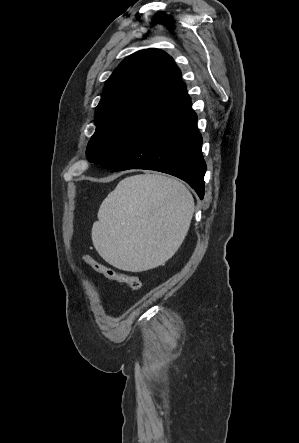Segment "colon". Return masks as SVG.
Segmentation results:
<instances>
[{"instance_id": "colon-1", "label": "colon", "mask_w": 299, "mask_h": 443, "mask_svg": "<svg viewBox=\"0 0 299 443\" xmlns=\"http://www.w3.org/2000/svg\"><path fill=\"white\" fill-rule=\"evenodd\" d=\"M82 260L92 269L102 274L106 278L128 285V287L133 292H137L141 288L142 285L141 280L139 279L138 276L134 274H129L126 272L115 270L109 266L102 264L101 262L97 261L95 258L87 254L82 256Z\"/></svg>"}]
</instances>
